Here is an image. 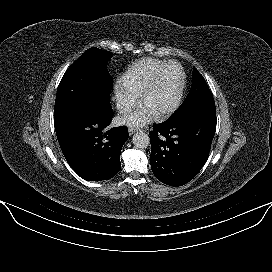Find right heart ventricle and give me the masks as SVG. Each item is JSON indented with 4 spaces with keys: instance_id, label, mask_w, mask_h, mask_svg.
Returning a JSON list of instances; mask_svg holds the SVG:
<instances>
[{
    "instance_id": "right-heart-ventricle-1",
    "label": "right heart ventricle",
    "mask_w": 272,
    "mask_h": 272,
    "mask_svg": "<svg viewBox=\"0 0 272 272\" xmlns=\"http://www.w3.org/2000/svg\"><path fill=\"white\" fill-rule=\"evenodd\" d=\"M168 61L143 58L130 65L122 75L121 83L126 88L141 94L144 88L152 81L158 71L165 66Z\"/></svg>"
}]
</instances>
